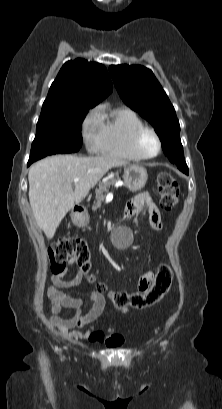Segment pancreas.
Segmentation results:
<instances>
[{
    "mask_svg": "<svg viewBox=\"0 0 222 409\" xmlns=\"http://www.w3.org/2000/svg\"><path fill=\"white\" fill-rule=\"evenodd\" d=\"M120 178L119 176L109 178L107 181L101 182L99 184V188L96 189V198L94 202L93 208L96 209L101 206V203L103 202L105 195V192H108V189L111 185H114L117 181H119Z\"/></svg>",
    "mask_w": 222,
    "mask_h": 409,
    "instance_id": "cf45deb5",
    "label": "pancreas"
}]
</instances>
